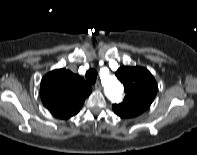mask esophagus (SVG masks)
<instances>
[{
	"mask_svg": "<svg viewBox=\"0 0 197 155\" xmlns=\"http://www.w3.org/2000/svg\"><path fill=\"white\" fill-rule=\"evenodd\" d=\"M95 89H96V90H101V89H102V85H101L100 82H97V83L95 84Z\"/></svg>",
	"mask_w": 197,
	"mask_h": 155,
	"instance_id": "1",
	"label": "esophagus"
}]
</instances>
